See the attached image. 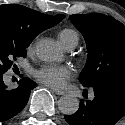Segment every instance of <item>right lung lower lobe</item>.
<instances>
[{"label":"right lung lower lobe","mask_w":125,"mask_h":125,"mask_svg":"<svg viewBox=\"0 0 125 125\" xmlns=\"http://www.w3.org/2000/svg\"><path fill=\"white\" fill-rule=\"evenodd\" d=\"M37 85L25 77L18 82V87L9 90L0 74V122L17 115L27 104L30 91Z\"/></svg>","instance_id":"obj_1"}]
</instances>
